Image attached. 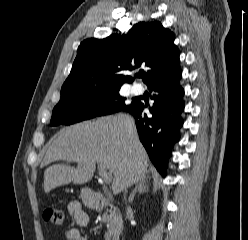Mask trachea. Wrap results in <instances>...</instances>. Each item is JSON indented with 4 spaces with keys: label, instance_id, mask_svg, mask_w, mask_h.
<instances>
[{
    "label": "trachea",
    "instance_id": "trachea-1",
    "mask_svg": "<svg viewBox=\"0 0 248 240\" xmlns=\"http://www.w3.org/2000/svg\"><path fill=\"white\" fill-rule=\"evenodd\" d=\"M147 76H148V74L145 73V72H141V73L139 74V77H141V78H146Z\"/></svg>",
    "mask_w": 248,
    "mask_h": 240
}]
</instances>
